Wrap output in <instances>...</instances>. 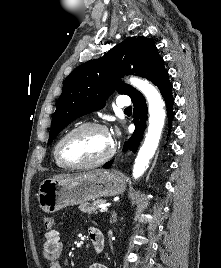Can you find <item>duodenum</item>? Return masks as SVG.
<instances>
[{
  "label": "duodenum",
  "instance_id": "duodenum-1",
  "mask_svg": "<svg viewBox=\"0 0 221 268\" xmlns=\"http://www.w3.org/2000/svg\"><path fill=\"white\" fill-rule=\"evenodd\" d=\"M90 240L94 250L100 253L104 249L105 239L103 233L98 229H93L90 233Z\"/></svg>",
  "mask_w": 221,
  "mask_h": 268
}]
</instances>
